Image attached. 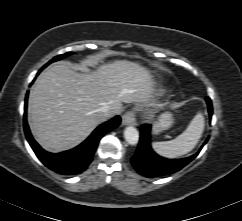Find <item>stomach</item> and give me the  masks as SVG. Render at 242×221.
Masks as SVG:
<instances>
[{
	"label": "stomach",
	"mask_w": 242,
	"mask_h": 221,
	"mask_svg": "<svg viewBox=\"0 0 242 221\" xmlns=\"http://www.w3.org/2000/svg\"><path fill=\"white\" fill-rule=\"evenodd\" d=\"M173 124L172 115L168 112L160 115L158 120L154 123L153 133L158 134L163 130L168 129Z\"/></svg>",
	"instance_id": "stomach-1"
}]
</instances>
